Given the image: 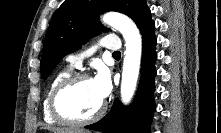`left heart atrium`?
<instances>
[{
	"mask_svg": "<svg viewBox=\"0 0 221 133\" xmlns=\"http://www.w3.org/2000/svg\"><path fill=\"white\" fill-rule=\"evenodd\" d=\"M91 80L99 98L101 100L106 99L111 91V82L107 70L104 68L99 69Z\"/></svg>",
	"mask_w": 221,
	"mask_h": 133,
	"instance_id": "obj_1",
	"label": "left heart atrium"
}]
</instances>
